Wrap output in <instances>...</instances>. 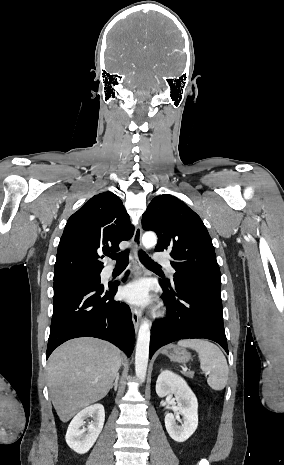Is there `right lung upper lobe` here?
Returning a JSON list of instances; mask_svg holds the SVG:
<instances>
[{
  "instance_id": "obj_1",
  "label": "right lung upper lobe",
  "mask_w": 284,
  "mask_h": 465,
  "mask_svg": "<svg viewBox=\"0 0 284 465\" xmlns=\"http://www.w3.org/2000/svg\"><path fill=\"white\" fill-rule=\"evenodd\" d=\"M134 226L119 197L112 192L93 196L67 221L58 245L54 281L100 274V255L118 252ZM103 257V256H102Z\"/></svg>"
}]
</instances>
